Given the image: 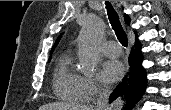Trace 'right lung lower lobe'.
<instances>
[{"label": "right lung lower lobe", "instance_id": "98d812e1", "mask_svg": "<svg viewBox=\"0 0 171 110\" xmlns=\"http://www.w3.org/2000/svg\"><path fill=\"white\" fill-rule=\"evenodd\" d=\"M136 43H138V38H135ZM143 61V55L141 53L140 44L132 48L129 56L130 65V78L124 79L121 84H119L115 90L110 95V102L119 97L123 92H125V99L127 100V105L125 110H132L133 106L141 98L146 86V73L142 67L141 62ZM128 81L129 84L126 85L125 82Z\"/></svg>", "mask_w": 171, "mask_h": 110}]
</instances>
